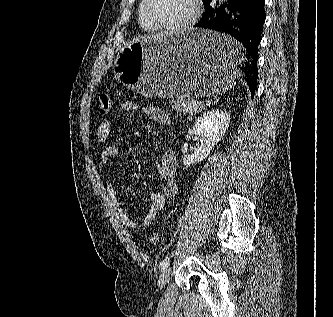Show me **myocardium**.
Masks as SVG:
<instances>
[{
    "mask_svg": "<svg viewBox=\"0 0 333 317\" xmlns=\"http://www.w3.org/2000/svg\"><path fill=\"white\" fill-rule=\"evenodd\" d=\"M150 3L151 0H144L143 4V12L145 15V18L147 21L156 29V30H164V31H169V32H174V33H182L190 28H192L195 23L197 22L201 9H202V3L201 0H191L192 4V10L191 14L189 17L182 23L180 24H164L161 22H158L156 19L153 18V16L150 13Z\"/></svg>",
    "mask_w": 333,
    "mask_h": 317,
    "instance_id": "1",
    "label": "myocardium"
}]
</instances>
